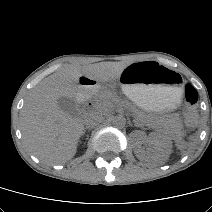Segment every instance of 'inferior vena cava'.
I'll use <instances>...</instances> for the list:
<instances>
[{"label": "inferior vena cava", "instance_id": "1", "mask_svg": "<svg viewBox=\"0 0 212 212\" xmlns=\"http://www.w3.org/2000/svg\"><path fill=\"white\" fill-rule=\"evenodd\" d=\"M104 120L103 114L100 111H90L84 115V124L86 127L91 128Z\"/></svg>", "mask_w": 212, "mask_h": 212}]
</instances>
